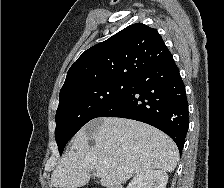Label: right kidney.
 Listing matches in <instances>:
<instances>
[{
    "label": "right kidney",
    "instance_id": "right-kidney-1",
    "mask_svg": "<svg viewBox=\"0 0 224 188\" xmlns=\"http://www.w3.org/2000/svg\"><path fill=\"white\" fill-rule=\"evenodd\" d=\"M168 175L163 170H151L137 174L127 188H166Z\"/></svg>",
    "mask_w": 224,
    "mask_h": 188
}]
</instances>
